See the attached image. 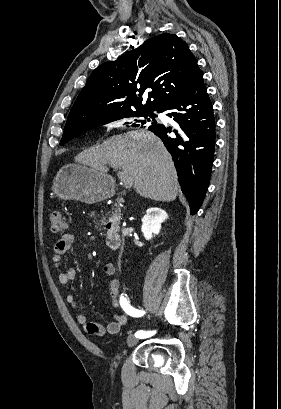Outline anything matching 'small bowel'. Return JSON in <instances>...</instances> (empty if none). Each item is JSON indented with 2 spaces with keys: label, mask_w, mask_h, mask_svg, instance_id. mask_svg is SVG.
<instances>
[{
  "label": "small bowel",
  "mask_w": 281,
  "mask_h": 409,
  "mask_svg": "<svg viewBox=\"0 0 281 409\" xmlns=\"http://www.w3.org/2000/svg\"><path fill=\"white\" fill-rule=\"evenodd\" d=\"M75 242V236L72 233L63 234L54 246L53 261L58 269V280L61 285L67 287L71 281L76 277V270L74 268L64 269L62 266V256L71 248ZM106 281L105 292H107L111 298L113 306L116 308L121 307L120 290L121 283L118 279L113 278L116 268L113 263L105 264L103 268ZM66 302L73 310L78 308V301L76 297L68 293L66 295ZM111 321L103 326L101 324L91 322L84 313L76 314V321L82 326L83 330L93 336L103 337L107 334H116L120 331L121 327L126 323V317L120 314H112Z\"/></svg>",
  "instance_id": "small-bowel-1"
}]
</instances>
